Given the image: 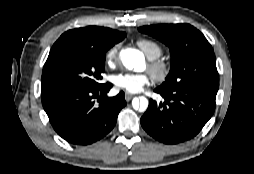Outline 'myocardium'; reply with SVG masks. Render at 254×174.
Here are the masks:
<instances>
[{
    "mask_svg": "<svg viewBox=\"0 0 254 174\" xmlns=\"http://www.w3.org/2000/svg\"><path fill=\"white\" fill-rule=\"evenodd\" d=\"M148 69L154 80L158 83L165 82L171 73L170 63L162 58L151 60Z\"/></svg>",
    "mask_w": 254,
    "mask_h": 174,
    "instance_id": "myocardium-1",
    "label": "myocardium"
}]
</instances>
